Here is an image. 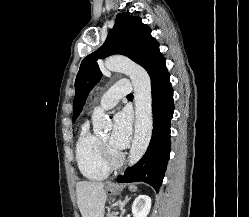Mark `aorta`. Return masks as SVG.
I'll return each mask as SVG.
<instances>
[{
    "mask_svg": "<svg viewBox=\"0 0 249 217\" xmlns=\"http://www.w3.org/2000/svg\"><path fill=\"white\" fill-rule=\"evenodd\" d=\"M104 65L110 71L129 75L133 84L136 121L134 138L128 157V164L132 166L143 157L152 136L151 80L145 69L123 57H109L105 60ZM92 124L95 132H101L110 126L107 116L100 108L94 109Z\"/></svg>",
    "mask_w": 249,
    "mask_h": 217,
    "instance_id": "obj_1",
    "label": "aorta"
}]
</instances>
